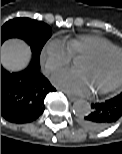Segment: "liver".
<instances>
[{"instance_id":"liver-1","label":"liver","mask_w":122,"mask_h":154,"mask_svg":"<svg viewBox=\"0 0 122 154\" xmlns=\"http://www.w3.org/2000/svg\"><path fill=\"white\" fill-rule=\"evenodd\" d=\"M30 59V48L20 39L7 40L1 47V64L9 71H20L26 68Z\"/></svg>"}]
</instances>
